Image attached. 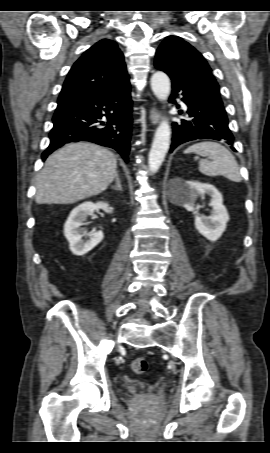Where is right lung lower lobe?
I'll use <instances>...</instances> for the list:
<instances>
[{
	"instance_id": "obj_1",
	"label": "right lung lower lobe",
	"mask_w": 270,
	"mask_h": 453,
	"mask_svg": "<svg viewBox=\"0 0 270 453\" xmlns=\"http://www.w3.org/2000/svg\"><path fill=\"white\" fill-rule=\"evenodd\" d=\"M131 112L129 80L95 97L58 102L42 159L66 143L89 141L117 150L128 162Z\"/></svg>"
}]
</instances>
